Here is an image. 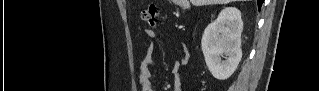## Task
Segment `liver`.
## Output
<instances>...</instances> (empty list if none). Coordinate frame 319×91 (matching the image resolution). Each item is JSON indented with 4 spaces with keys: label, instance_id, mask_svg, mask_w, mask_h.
Segmentation results:
<instances>
[{
    "label": "liver",
    "instance_id": "obj_1",
    "mask_svg": "<svg viewBox=\"0 0 319 91\" xmlns=\"http://www.w3.org/2000/svg\"><path fill=\"white\" fill-rule=\"evenodd\" d=\"M233 0H190L195 6L211 5V4H228Z\"/></svg>",
    "mask_w": 319,
    "mask_h": 91
}]
</instances>
